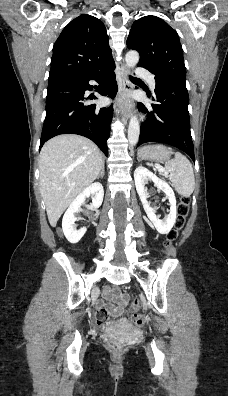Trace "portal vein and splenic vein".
<instances>
[{"mask_svg":"<svg viewBox=\"0 0 228 396\" xmlns=\"http://www.w3.org/2000/svg\"><path fill=\"white\" fill-rule=\"evenodd\" d=\"M159 171H164V169L162 167H158Z\"/></svg>","mask_w":228,"mask_h":396,"instance_id":"1","label":"portal vein and splenic vein"}]
</instances>
